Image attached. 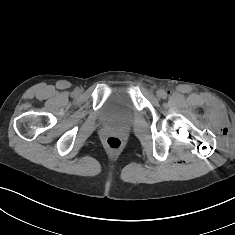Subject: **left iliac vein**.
<instances>
[{
  "mask_svg": "<svg viewBox=\"0 0 235 235\" xmlns=\"http://www.w3.org/2000/svg\"><path fill=\"white\" fill-rule=\"evenodd\" d=\"M163 92H164L163 90H158V91L156 92L157 97H158V98H162Z\"/></svg>",
  "mask_w": 235,
  "mask_h": 235,
  "instance_id": "1",
  "label": "left iliac vein"
}]
</instances>
